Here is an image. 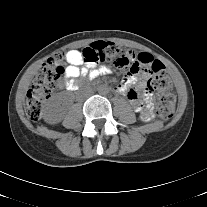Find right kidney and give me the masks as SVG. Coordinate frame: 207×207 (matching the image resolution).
<instances>
[{
    "label": "right kidney",
    "instance_id": "right-kidney-1",
    "mask_svg": "<svg viewBox=\"0 0 207 207\" xmlns=\"http://www.w3.org/2000/svg\"><path fill=\"white\" fill-rule=\"evenodd\" d=\"M64 113L61 108H59L56 99H52L48 106L46 107L44 113V120L49 124H56L63 120Z\"/></svg>",
    "mask_w": 207,
    "mask_h": 207
}]
</instances>
